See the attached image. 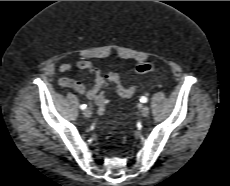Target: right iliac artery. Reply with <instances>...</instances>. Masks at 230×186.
Listing matches in <instances>:
<instances>
[{
  "label": "right iliac artery",
  "instance_id": "82829eb1",
  "mask_svg": "<svg viewBox=\"0 0 230 186\" xmlns=\"http://www.w3.org/2000/svg\"><path fill=\"white\" fill-rule=\"evenodd\" d=\"M86 105L85 104H82L81 106H80V108L82 109V110H84V109H86Z\"/></svg>",
  "mask_w": 230,
  "mask_h": 186
}]
</instances>
